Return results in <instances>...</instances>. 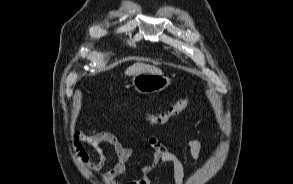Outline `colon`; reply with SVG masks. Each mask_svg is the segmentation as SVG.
I'll return each mask as SVG.
<instances>
[{
	"label": "colon",
	"instance_id": "1",
	"mask_svg": "<svg viewBox=\"0 0 293 184\" xmlns=\"http://www.w3.org/2000/svg\"><path fill=\"white\" fill-rule=\"evenodd\" d=\"M188 102V98H183L178 100L167 111H164L156 115H141L140 118L153 126L164 125L171 118L182 113L186 109Z\"/></svg>",
	"mask_w": 293,
	"mask_h": 184
}]
</instances>
